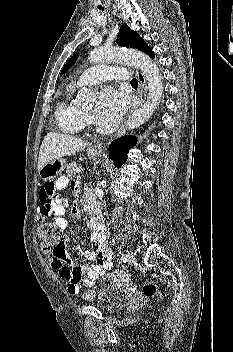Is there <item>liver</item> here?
I'll return each instance as SVG.
<instances>
[{
    "mask_svg": "<svg viewBox=\"0 0 233 352\" xmlns=\"http://www.w3.org/2000/svg\"><path fill=\"white\" fill-rule=\"evenodd\" d=\"M88 143L65 134L50 132L42 141L39 158L38 171L48 162L54 159H61L64 156H71L86 148Z\"/></svg>",
    "mask_w": 233,
    "mask_h": 352,
    "instance_id": "1",
    "label": "liver"
}]
</instances>
